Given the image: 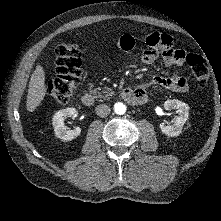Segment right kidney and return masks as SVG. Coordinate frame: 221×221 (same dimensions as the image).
<instances>
[{"instance_id":"1","label":"right kidney","mask_w":221,"mask_h":221,"mask_svg":"<svg viewBox=\"0 0 221 221\" xmlns=\"http://www.w3.org/2000/svg\"><path fill=\"white\" fill-rule=\"evenodd\" d=\"M78 112L75 108H66L59 110L56 112L52 119V125L54 127L55 135L64 140V141H70L74 138L78 137L81 133V129L79 127H76L72 130H67L66 126L64 125V119L66 117H77Z\"/></svg>"}]
</instances>
